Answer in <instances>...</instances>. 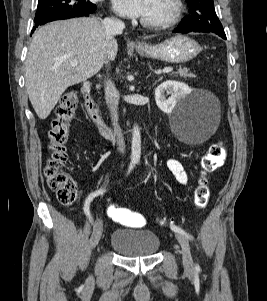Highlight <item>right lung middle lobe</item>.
Listing matches in <instances>:
<instances>
[{"label": "right lung middle lobe", "instance_id": "1", "mask_svg": "<svg viewBox=\"0 0 267 301\" xmlns=\"http://www.w3.org/2000/svg\"><path fill=\"white\" fill-rule=\"evenodd\" d=\"M96 5L89 0H39L35 21L54 13H82L96 10Z\"/></svg>", "mask_w": 267, "mask_h": 301}]
</instances>
